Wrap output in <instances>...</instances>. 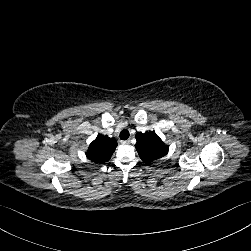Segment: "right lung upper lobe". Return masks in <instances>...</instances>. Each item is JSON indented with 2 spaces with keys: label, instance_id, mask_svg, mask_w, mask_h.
<instances>
[{
  "label": "right lung upper lobe",
  "instance_id": "1",
  "mask_svg": "<svg viewBox=\"0 0 251 251\" xmlns=\"http://www.w3.org/2000/svg\"><path fill=\"white\" fill-rule=\"evenodd\" d=\"M116 147L117 141L114 138L98 135L96 139L91 142L86 156L95 164H103L110 160Z\"/></svg>",
  "mask_w": 251,
  "mask_h": 251
}]
</instances>
